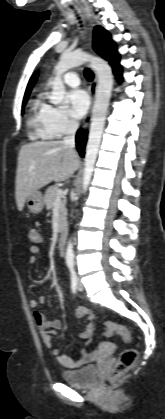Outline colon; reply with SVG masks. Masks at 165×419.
I'll use <instances>...</instances> for the list:
<instances>
[{
  "label": "colon",
  "mask_w": 165,
  "mask_h": 419,
  "mask_svg": "<svg viewBox=\"0 0 165 419\" xmlns=\"http://www.w3.org/2000/svg\"><path fill=\"white\" fill-rule=\"evenodd\" d=\"M29 239L32 243H37L39 241V237L34 231L29 232ZM103 334L106 336L117 334L121 336L126 343L131 341L130 331L126 327L114 322L103 324ZM137 358L138 350L135 348H127L121 351L111 370L110 379H117L129 371L136 363Z\"/></svg>",
  "instance_id": "5ec220e1"
}]
</instances>
